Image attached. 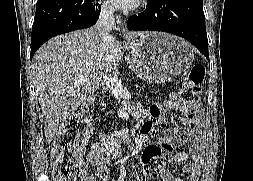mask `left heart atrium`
I'll list each match as a JSON object with an SVG mask.
<instances>
[{"mask_svg":"<svg viewBox=\"0 0 253 181\" xmlns=\"http://www.w3.org/2000/svg\"><path fill=\"white\" fill-rule=\"evenodd\" d=\"M115 6L121 9H134L140 0H110Z\"/></svg>","mask_w":253,"mask_h":181,"instance_id":"left-heart-atrium-1","label":"left heart atrium"}]
</instances>
